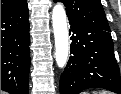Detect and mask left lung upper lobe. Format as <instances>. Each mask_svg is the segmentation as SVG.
Returning <instances> with one entry per match:
<instances>
[{
    "label": "left lung upper lobe",
    "instance_id": "obj_1",
    "mask_svg": "<svg viewBox=\"0 0 121 94\" xmlns=\"http://www.w3.org/2000/svg\"><path fill=\"white\" fill-rule=\"evenodd\" d=\"M57 2L58 0H54ZM70 19L110 32L100 0H60Z\"/></svg>",
    "mask_w": 121,
    "mask_h": 94
}]
</instances>
